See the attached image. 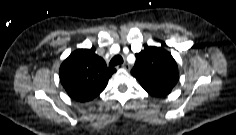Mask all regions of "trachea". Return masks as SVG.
Masks as SVG:
<instances>
[{"label":"trachea","mask_w":236,"mask_h":135,"mask_svg":"<svg viewBox=\"0 0 236 135\" xmlns=\"http://www.w3.org/2000/svg\"><path fill=\"white\" fill-rule=\"evenodd\" d=\"M121 63H123V58H122V56L116 55V56H114V57L110 60L109 65H110V66H116V65H119V64H121Z\"/></svg>","instance_id":"1"}]
</instances>
